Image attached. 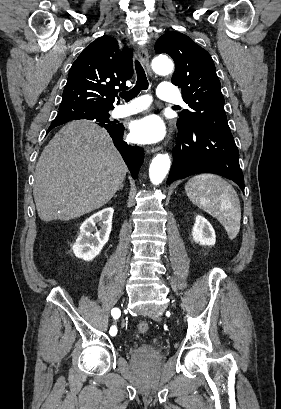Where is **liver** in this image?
Wrapping results in <instances>:
<instances>
[{
    "label": "liver",
    "instance_id": "liver-1",
    "mask_svg": "<svg viewBox=\"0 0 281 409\" xmlns=\"http://www.w3.org/2000/svg\"><path fill=\"white\" fill-rule=\"evenodd\" d=\"M126 172L106 128L92 120L67 122L36 164L33 194L41 221H70L104 207Z\"/></svg>",
    "mask_w": 281,
    "mask_h": 409
}]
</instances>
